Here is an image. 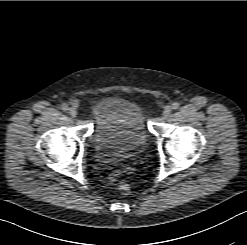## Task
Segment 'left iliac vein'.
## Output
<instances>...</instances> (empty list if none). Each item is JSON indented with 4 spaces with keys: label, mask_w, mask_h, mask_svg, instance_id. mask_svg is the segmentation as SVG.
Masks as SVG:
<instances>
[{
    "label": "left iliac vein",
    "mask_w": 247,
    "mask_h": 245,
    "mask_svg": "<svg viewBox=\"0 0 247 245\" xmlns=\"http://www.w3.org/2000/svg\"><path fill=\"white\" fill-rule=\"evenodd\" d=\"M171 110H172L171 106L169 105L165 106L163 109V116L164 117L169 116V114L171 113Z\"/></svg>",
    "instance_id": "left-iliac-vein-1"
}]
</instances>
